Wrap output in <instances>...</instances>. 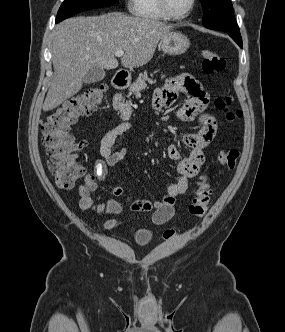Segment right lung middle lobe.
<instances>
[{"label": "right lung middle lobe", "instance_id": "dd1d6c3e", "mask_svg": "<svg viewBox=\"0 0 285 332\" xmlns=\"http://www.w3.org/2000/svg\"><path fill=\"white\" fill-rule=\"evenodd\" d=\"M117 1L118 0H64L58 11L56 21L60 22L85 10L112 6Z\"/></svg>", "mask_w": 285, "mask_h": 332}]
</instances>
